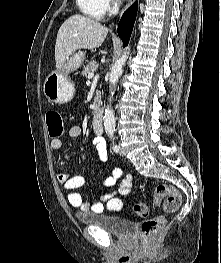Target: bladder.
<instances>
[{
  "instance_id": "obj_1",
  "label": "bladder",
  "mask_w": 221,
  "mask_h": 263,
  "mask_svg": "<svg viewBox=\"0 0 221 263\" xmlns=\"http://www.w3.org/2000/svg\"><path fill=\"white\" fill-rule=\"evenodd\" d=\"M79 220L85 225H94L114 236L125 238L134 229L135 222L115 214H101L91 216H79Z\"/></svg>"
}]
</instances>
